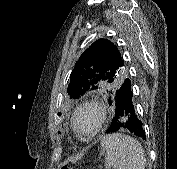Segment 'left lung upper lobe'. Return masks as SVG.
I'll use <instances>...</instances> for the list:
<instances>
[{
	"mask_svg": "<svg viewBox=\"0 0 177 169\" xmlns=\"http://www.w3.org/2000/svg\"><path fill=\"white\" fill-rule=\"evenodd\" d=\"M125 77V63L118 47L108 39H98L77 61L67 92L70 97L88 91L107 92L113 96Z\"/></svg>",
	"mask_w": 177,
	"mask_h": 169,
	"instance_id": "1",
	"label": "left lung upper lobe"
}]
</instances>
